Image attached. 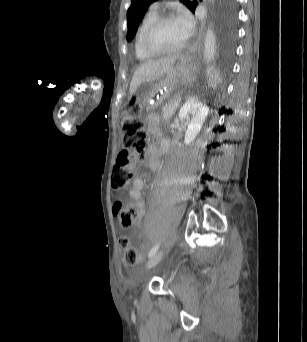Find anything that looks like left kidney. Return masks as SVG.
I'll use <instances>...</instances> for the list:
<instances>
[{
	"instance_id": "1",
	"label": "left kidney",
	"mask_w": 307,
	"mask_h": 342,
	"mask_svg": "<svg viewBox=\"0 0 307 342\" xmlns=\"http://www.w3.org/2000/svg\"><path fill=\"white\" fill-rule=\"evenodd\" d=\"M208 114L209 108L202 104V102H199L198 98H195V96L188 98L178 114L180 120H186L188 124L183 144H191L195 140ZM183 144L178 142V146H183Z\"/></svg>"
}]
</instances>
